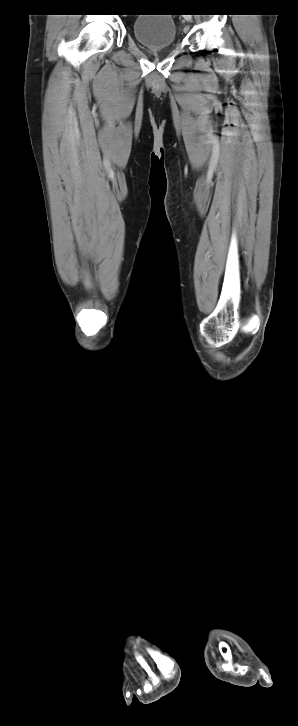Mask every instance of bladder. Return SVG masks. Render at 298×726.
Here are the masks:
<instances>
[{
    "instance_id": "1",
    "label": "bladder",
    "mask_w": 298,
    "mask_h": 726,
    "mask_svg": "<svg viewBox=\"0 0 298 726\" xmlns=\"http://www.w3.org/2000/svg\"><path fill=\"white\" fill-rule=\"evenodd\" d=\"M132 32L136 40L149 49L171 47L177 38L175 21L168 14H139L133 21Z\"/></svg>"
}]
</instances>
